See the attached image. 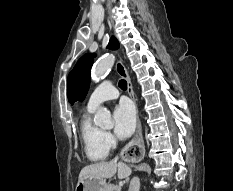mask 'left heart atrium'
I'll return each instance as SVG.
<instances>
[{"instance_id":"39dd6f15","label":"left heart atrium","mask_w":233,"mask_h":191,"mask_svg":"<svg viewBox=\"0 0 233 191\" xmlns=\"http://www.w3.org/2000/svg\"><path fill=\"white\" fill-rule=\"evenodd\" d=\"M114 131L119 138L129 137L136 126L134 108L127 102L120 103L114 110Z\"/></svg>"}]
</instances>
